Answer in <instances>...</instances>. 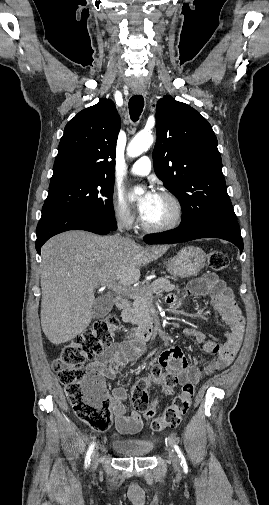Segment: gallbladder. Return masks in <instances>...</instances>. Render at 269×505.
Here are the masks:
<instances>
[{"mask_svg": "<svg viewBox=\"0 0 269 505\" xmlns=\"http://www.w3.org/2000/svg\"><path fill=\"white\" fill-rule=\"evenodd\" d=\"M113 307V300L108 296L97 298L92 305V316L94 319L105 317Z\"/></svg>", "mask_w": 269, "mask_h": 505, "instance_id": "1", "label": "gallbladder"}]
</instances>
